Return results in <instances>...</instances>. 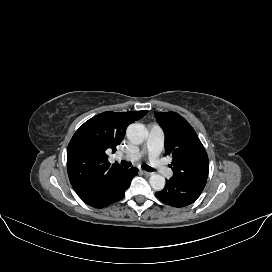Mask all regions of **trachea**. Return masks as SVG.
<instances>
[{
    "label": "trachea",
    "mask_w": 272,
    "mask_h": 272,
    "mask_svg": "<svg viewBox=\"0 0 272 272\" xmlns=\"http://www.w3.org/2000/svg\"><path fill=\"white\" fill-rule=\"evenodd\" d=\"M121 163V165L123 166V167H125V168H128V167H131L132 166V163L131 162H128V161H121L120 162ZM142 168L145 170V171H148V172H153L154 171V168H152V167H150V166H148V165H146V164H143L142 165Z\"/></svg>",
    "instance_id": "obj_1"
}]
</instances>
